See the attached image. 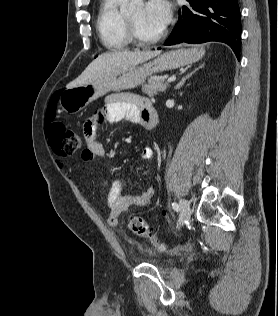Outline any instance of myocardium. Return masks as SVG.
Returning <instances> with one entry per match:
<instances>
[{
    "instance_id": "f54148a6",
    "label": "myocardium",
    "mask_w": 278,
    "mask_h": 316,
    "mask_svg": "<svg viewBox=\"0 0 278 316\" xmlns=\"http://www.w3.org/2000/svg\"><path fill=\"white\" fill-rule=\"evenodd\" d=\"M125 23L130 41L140 46L155 44L166 35V31L162 30L159 34L153 37L145 38L139 33L134 22L128 16H125Z\"/></svg>"
}]
</instances>
